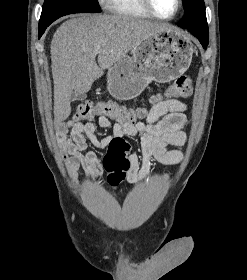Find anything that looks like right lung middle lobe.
I'll return each mask as SVG.
<instances>
[{
	"label": "right lung middle lobe",
	"instance_id": "1",
	"mask_svg": "<svg viewBox=\"0 0 247 280\" xmlns=\"http://www.w3.org/2000/svg\"><path fill=\"white\" fill-rule=\"evenodd\" d=\"M100 11L96 0H45L39 27L49 26L64 15L79 12L98 13Z\"/></svg>",
	"mask_w": 247,
	"mask_h": 280
}]
</instances>
